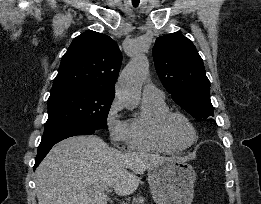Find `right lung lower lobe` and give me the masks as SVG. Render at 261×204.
Here are the masks:
<instances>
[{
  "label": "right lung lower lobe",
  "mask_w": 261,
  "mask_h": 204,
  "mask_svg": "<svg viewBox=\"0 0 261 204\" xmlns=\"http://www.w3.org/2000/svg\"><path fill=\"white\" fill-rule=\"evenodd\" d=\"M95 130L96 129L94 128H76L61 130L47 135H43L41 143L38 147V153L35 159L34 170L56 143L60 142L63 139L76 135H91L94 133Z\"/></svg>",
  "instance_id": "1"
}]
</instances>
